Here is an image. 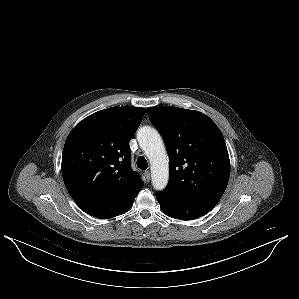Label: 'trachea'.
I'll return each instance as SVG.
<instances>
[{
    "label": "trachea",
    "mask_w": 299,
    "mask_h": 299,
    "mask_svg": "<svg viewBox=\"0 0 299 299\" xmlns=\"http://www.w3.org/2000/svg\"><path fill=\"white\" fill-rule=\"evenodd\" d=\"M137 166L140 169L145 170L148 167L147 160L143 156L138 157V159H137Z\"/></svg>",
    "instance_id": "obj_1"
}]
</instances>
